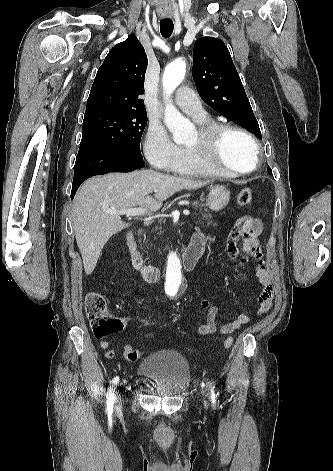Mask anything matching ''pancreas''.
Segmentation results:
<instances>
[{
  "label": "pancreas",
  "instance_id": "obj_1",
  "mask_svg": "<svg viewBox=\"0 0 333 471\" xmlns=\"http://www.w3.org/2000/svg\"><path fill=\"white\" fill-rule=\"evenodd\" d=\"M192 206L196 210L199 209L201 213V220H207L206 226H210L213 223L212 215L209 213V211L207 209H204L205 213L202 211V209L205 207L204 204H199V202L195 201ZM201 220L200 218H198V221H196V223H201Z\"/></svg>",
  "mask_w": 333,
  "mask_h": 471
}]
</instances>
